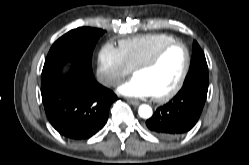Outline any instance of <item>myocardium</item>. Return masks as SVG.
<instances>
[{"mask_svg": "<svg viewBox=\"0 0 249 165\" xmlns=\"http://www.w3.org/2000/svg\"><path fill=\"white\" fill-rule=\"evenodd\" d=\"M175 46H181L185 51L184 68L181 72V75H180L177 83L170 91H168L167 93L162 94V95L153 96V98L156 102L161 103V102H166V101L170 100L183 87L184 82H185L187 75L189 73L190 66H191V54H190L189 48L187 47V45L185 43H183L181 41L174 40L172 42H169V43L161 46L150 58L143 61L142 63H140L139 65H137L134 68V74H136L139 71L146 70V69L153 67L154 65H156L160 61V59L165 54V52H167L169 49H171L172 47H175Z\"/></svg>", "mask_w": 249, "mask_h": 165, "instance_id": "f54148a6", "label": "myocardium"}]
</instances>
